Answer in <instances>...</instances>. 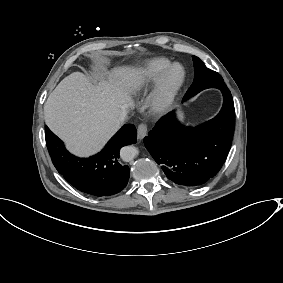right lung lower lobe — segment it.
<instances>
[{"mask_svg": "<svg viewBox=\"0 0 283 283\" xmlns=\"http://www.w3.org/2000/svg\"><path fill=\"white\" fill-rule=\"evenodd\" d=\"M45 138L55 168L76 189L94 196H109L126 187L130 170L120 163L119 154L122 147L137 141L133 124L124 125L100 153L90 158L70 154L47 126Z\"/></svg>", "mask_w": 283, "mask_h": 283, "instance_id": "obj_1", "label": "right lung lower lobe"}]
</instances>
